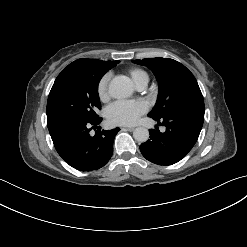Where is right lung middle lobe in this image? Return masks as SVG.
<instances>
[{"instance_id":"dd1d6c3e","label":"right lung middle lobe","mask_w":247,"mask_h":247,"mask_svg":"<svg viewBox=\"0 0 247 247\" xmlns=\"http://www.w3.org/2000/svg\"><path fill=\"white\" fill-rule=\"evenodd\" d=\"M118 62L86 72L60 73L48 96V129L68 121L87 122L97 119L96 110L101 108L99 81Z\"/></svg>"}]
</instances>
